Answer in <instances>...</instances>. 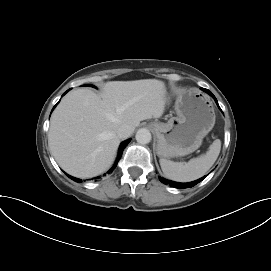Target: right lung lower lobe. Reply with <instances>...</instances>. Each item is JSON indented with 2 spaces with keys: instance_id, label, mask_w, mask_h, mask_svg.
Segmentation results:
<instances>
[{
  "instance_id": "98d812e1",
  "label": "right lung lower lobe",
  "mask_w": 271,
  "mask_h": 271,
  "mask_svg": "<svg viewBox=\"0 0 271 271\" xmlns=\"http://www.w3.org/2000/svg\"><path fill=\"white\" fill-rule=\"evenodd\" d=\"M68 91H69V90H68ZM68 91H66L64 94H66ZM64 94H63V95H64ZM54 107H55V106H54ZM53 109H54V108H53ZM130 140H131V139H128V140L124 141V142L120 145L119 152H118V156H117V158H116L115 164H114L113 167L108 171V173L112 172L113 169L116 168L117 163H118V161L120 160V158H121V156H122L123 150H124V148L127 146V144L130 142ZM104 175H105V174H104ZM68 177L71 178L72 180L76 181V182H81V179L72 177V176H70V175H68ZM97 178H99V177H97Z\"/></svg>"
}]
</instances>
